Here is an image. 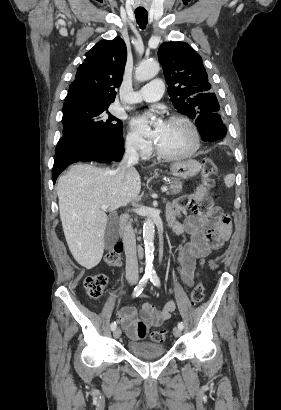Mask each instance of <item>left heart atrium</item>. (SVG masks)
Here are the masks:
<instances>
[{"label": "left heart atrium", "instance_id": "1", "mask_svg": "<svg viewBox=\"0 0 281 410\" xmlns=\"http://www.w3.org/2000/svg\"><path fill=\"white\" fill-rule=\"evenodd\" d=\"M165 124L166 122L162 119H157L150 125L148 118L145 116H141L134 121V125L139 131L149 135L156 141L159 139Z\"/></svg>", "mask_w": 281, "mask_h": 410}]
</instances>
